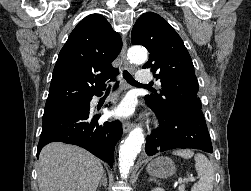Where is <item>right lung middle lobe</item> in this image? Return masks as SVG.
<instances>
[{"mask_svg": "<svg viewBox=\"0 0 251 191\" xmlns=\"http://www.w3.org/2000/svg\"><path fill=\"white\" fill-rule=\"evenodd\" d=\"M90 108V105L88 104V101H82L77 103H72L52 109H45L43 114V120L51 118L56 115H60L63 113L71 112V111H77V110H88Z\"/></svg>", "mask_w": 251, "mask_h": 191, "instance_id": "dd1d6c3e", "label": "right lung middle lobe"}]
</instances>
